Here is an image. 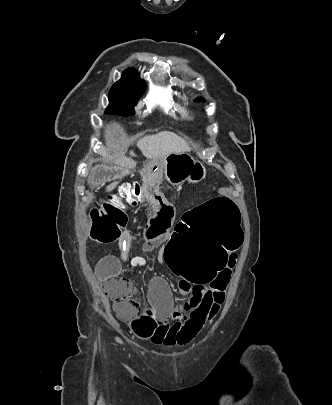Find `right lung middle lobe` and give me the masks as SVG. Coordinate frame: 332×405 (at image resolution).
<instances>
[{"mask_svg":"<svg viewBox=\"0 0 332 405\" xmlns=\"http://www.w3.org/2000/svg\"><path fill=\"white\" fill-rule=\"evenodd\" d=\"M143 90L131 88L121 82H116L109 92V105L105 113L131 116L135 114L137 104Z\"/></svg>","mask_w":332,"mask_h":405,"instance_id":"dd1d6c3e","label":"right lung middle lobe"}]
</instances>
